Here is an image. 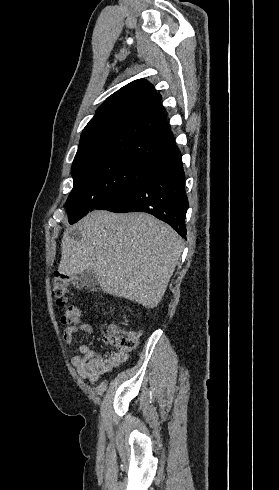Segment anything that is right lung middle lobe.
<instances>
[{"label": "right lung middle lobe", "instance_id": "1", "mask_svg": "<svg viewBox=\"0 0 279 490\" xmlns=\"http://www.w3.org/2000/svg\"><path fill=\"white\" fill-rule=\"evenodd\" d=\"M154 166L131 159H106L73 170L74 186L66 202L69 223L96 209L110 194L142 179Z\"/></svg>", "mask_w": 279, "mask_h": 490}]
</instances>
